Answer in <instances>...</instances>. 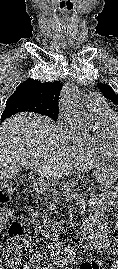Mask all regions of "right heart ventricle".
Masks as SVG:
<instances>
[{
    "mask_svg": "<svg viewBox=\"0 0 118 269\" xmlns=\"http://www.w3.org/2000/svg\"><path fill=\"white\" fill-rule=\"evenodd\" d=\"M96 127L92 133L87 134L83 142L77 147L86 154L108 156L118 158V153L113 150L111 141L108 137V124L115 119L118 114L108 105L102 108L90 110Z\"/></svg>",
    "mask_w": 118,
    "mask_h": 269,
    "instance_id": "right-heart-ventricle-1",
    "label": "right heart ventricle"
}]
</instances>
